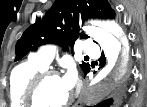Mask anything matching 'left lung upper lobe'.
<instances>
[{
  "mask_svg": "<svg viewBox=\"0 0 147 107\" xmlns=\"http://www.w3.org/2000/svg\"><path fill=\"white\" fill-rule=\"evenodd\" d=\"M115 15L108 0H56L45 16L37 18L17 41L14 61L48 43L68 49L67 45L72 47L78 38H88L83 32L79 33L80 20L89 17L113 20ZM80 67L86 73L90 65L83 62Z\"/></svg>",
  "mask_w": 147,
  "mask_h": 107,
  "instance_id": "left-lung-upper-lobe-1",
  "label": "left lung upper lobe"
}]
</instances>
